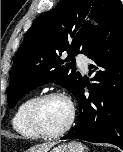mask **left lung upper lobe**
<instances>
[{"mask_svg":"<svg viewBox=\"0 0 123 152\" xmlns=\"http://www.w3.org/2000/svg\"><path fill=\"white\" fill-rule=\"evenodd\" d=\"M120 4V0H61L55 9L38 17L14 59L9 106L14 107L26 93L48 82L67 88L76 96L82 77L75 73L74 57L78 53L87 55L102 32L84 22V17L89 14L104 28L108 16ZM64 52L69 54L65 61L60 58Z\"/></svg>","mask_w":123,"mask_h":152,"instance_id":"obj_1","label":"left lung upper lobe"}]
</instances>
